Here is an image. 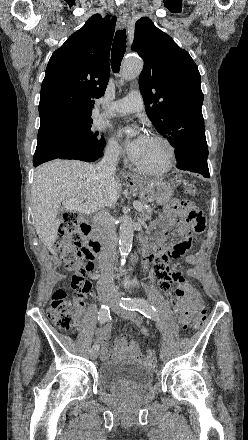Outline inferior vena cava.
Listing matches in <instances>:
<instances>
[{
  "label": "inferior vena cava",
  "mask_w": 248,
  "mask_h": 440,
  "mask_svg": "<svg viewBox=\"0 0 248 440\" xmlns=\"http://www.w3.org/2000/svg\"><path fill=\"white\" fill-rule=\"evenodd\" d=\"M117 151H107L102 160L96 165L97 172L104 176H114L117 166ZM94 227L102 235L103 250L99 258L101 280L110 284L113 279V266L116 254L117 235L109 212L99 211L93 218Z\"/></svg>",
  "instance_id": "1"
}]
</instances>
